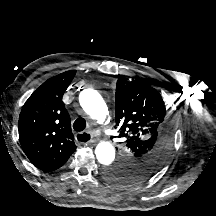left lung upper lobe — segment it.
Segmentation results:
<instances>
[{"label": "left lung upper lobe", "instance_id": "5c2ea615", "mask_svg": "<svg viewBox=\"0 0 216 216\" xmlns=\"http://www.w3.org/2000/svg\"><path fill=\"white\" fill-rule=\"evenodd\" d=\"M152 85L142 79L117 80L115 121L124 146L116 164L103 170L116 186L130 187L152 177L173 144L174 115Z\"/></svg>", "mask_w": 216, "mask_h": 216}]
</instances>
